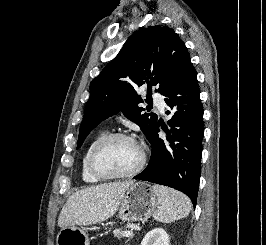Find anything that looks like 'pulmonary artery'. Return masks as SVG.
I'll return each instance as SVG.
<instances>
[{"label": "pulmonary artery", "instance_id": "obj_1", "mask_svg": "<svg viewBox=\"0 0 266 245\" xmlns=\"http://www.w3.org/2000/svg\"><path fill=\"white\" fill-rule=\"evenodd\" d=\"M155 104L158 107L159 111L163 113L166 107L164 100L162 98L157 99L155 100Z\"/></svg>", "mask_w": 266, "mask_h": 245}]
</instances>
